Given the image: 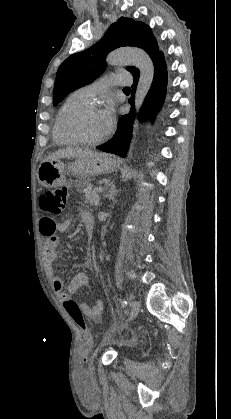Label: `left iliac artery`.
I'll use <instances>...</instances> for the list:
<instances>
[{
	"mask_svg": "<svg viewBox=\"0 0 231 419\" xmlns=\"http://www.w3.org/2000/svg\"><path fill=\"white\" fill-rule=\"evenodd\" d=\"M127 305H128V303H127V301H126V300H122V301H121V306H122L123 308L127 307Z\"/></svg>",
	"mask_w": 231,
	"mask_h": 419,
	"instance_id": "1",
	"label": "left iliac artery"
}]
</instances>
